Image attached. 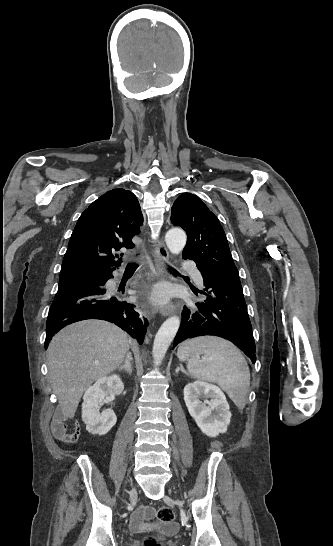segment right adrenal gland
Masks as SVG:
<instances>
[{"label":"right adrenal gland","mask_w":333,"mask_h":546,"mask_svg":"<svg viewBox=\"0 0 333 546\" xmlns=\"http://www.w3.org/2000/svg\"><path fill=\"white\" fill-rule=\"evenodd\" d=\"M132 354L131 352H128L126 354L125 362L123 365H121L118 370H125L129 375L132 374L133 368H132Z\"/></svg>","instance_id":"1"}]
</instances>
